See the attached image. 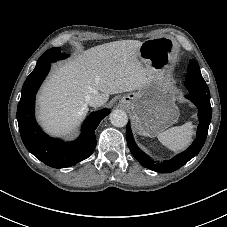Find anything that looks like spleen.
Wrapping results in <instances>:
<instances>
[{
  "label": "spleen",
  "instance_id": "spleen-1",
  "mask_svg": "<svg viewBox=\"0 0 227 227\" xmlns=\"http://www.w3.org/2000/svg\"><path fill=\"white\" fill-rule=\"evenodd\" d=\"M192 122H186L182 126L169 128L158 134V140L172 151H182L192 141L193 131Z\"/></svg>",
  "mask_w": 227,
  "mask_h": 227
}]
</instances>
